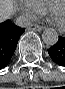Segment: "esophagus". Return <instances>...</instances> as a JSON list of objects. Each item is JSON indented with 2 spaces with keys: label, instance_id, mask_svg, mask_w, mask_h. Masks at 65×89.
<instances>
[{
  "label": "esophagus",
  "instance_id": "34e87169",
  "mask_svg": "<svg viewBox=\"0 0 65 89\" xmlns=\"http://www.w3.org/2000/svg\"><path fill=\"white\" fill-rule=\"evenodd\" d=\"M29 29H31V30H36V31H41V30L44 29V27L41 26V25H38V24H33V25H31V26L29 27Z\"/></svg>",
  "mask_w": 65,
  "mask_h": 89
}]
</instances>
